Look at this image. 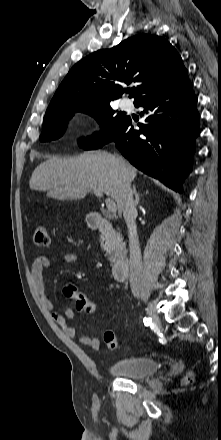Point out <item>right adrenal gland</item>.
Here are the masks:
<instances>
[{"label":"right adrenal gland","instance_id":"right-adrenal-gland-1","mask_svg":"<svg viewBox=\"0 0 221 440\" xmlns=\"http://www.w3.org/2000/svg\"><path fill=\"white\" fill-rule=\"evenodd\" d=\"M133 193H134V196H135V205H138L139 201H140V194L137 193L135 185H133Z\"/></svg>","mask_w":221,"mask_h":440}]
</instances>
